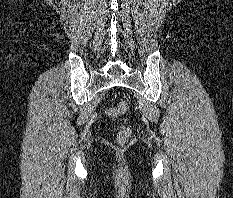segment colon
<instances>
[{"instance_id":"obj_1","label":"colon","mask_w":233,"mask_h":198,"mask_svg":"<svg viewBox=\"0 0 233 198\" xmlns=\"http://www.w3.org/2000/svg\"><path fill=\"white\" fill-rule=\"evenodd\" d=\"M129 105L127 102H119L114 107L107 110V114L111 117L123 116L127 113ZM132 131L128 126H120L116 135L117 142L119 144L126 143L131 137Z\"/></svg>"}]
</instances>
